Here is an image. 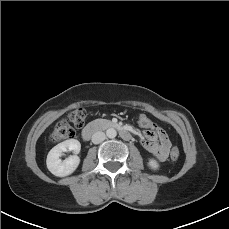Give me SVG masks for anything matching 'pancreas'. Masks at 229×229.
<instances>
[{
  "label": "pancreas",
  "instance_id": "cf45deb5",
  "mask_svg": "<svg viewBox=\"0 0 229 229\" xmlns=\"http://www.w3.org/2000/svg\"><path fill=\"white\" fill-rule=\"evenodd\" d=\"M95 124L99 125V126H107L111 124L110 120H106V119H96L94 121Z\"/></svg>",
  "mask_w": 229,
  "mask_h": 229
}]
</instances>
